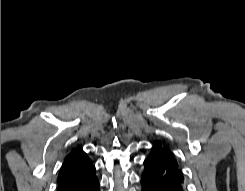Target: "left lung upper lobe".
Masks as SVG:
<instances>
[{"instance_id":"1","label":"left lung upper lobe","mask_w":245,"mask_h":191,"mask_svg":"<svg viewBox=\"0 0 245 191\" xmlns=\"http://www.w3.org/2000/svg\"><path fill=\"white\" fill-rule=\"evenodd\" d=\"M154 147L160 148V149H162V150H165V151L170 152L169 149H168V147L165 146L164 144L156 143V144L154 145Z\"/></svg>"}]
</instances>
